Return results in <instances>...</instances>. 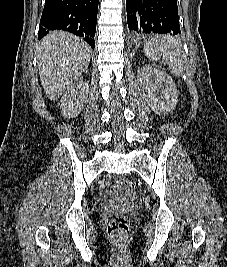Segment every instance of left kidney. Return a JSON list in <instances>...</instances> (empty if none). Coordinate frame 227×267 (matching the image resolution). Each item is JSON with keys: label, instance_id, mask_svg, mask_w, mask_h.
Wrapping results in <instances>:
<instances>
[{"label": "left kidney", "instance_id": "5707ae66", "mask_svg": "<svg viewBox=\"0 0 227 267\" xmlns=\"http://www.w3.org/2000/svg\"><path fill=\"white\" fill-rule=\"evenodd\" d=\"M137 80L154 112L167 114L174 110L178 102V92L173 79L167 73L146 66L138 70Z\"/></svg>", "mask_w": 227, "mask_h": 267}]
</instances>
